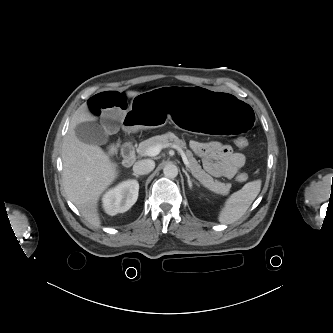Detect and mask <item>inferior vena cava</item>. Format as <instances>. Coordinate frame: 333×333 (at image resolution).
I'll return each instance as SVG.
<instances>
[{"mask_svg": "<svg viewBox=\"0 0 333 333\" xmlns=\"http://www.w3.org/2000/svg\"><path fill=\"white\" fill-rule=\"evenodd\" d=\"M155 168V162L150 159L138 161L133 166L134 173L138 175L149 174Z\"/></svg>", "mask_w": 333, "mask_h": 333, "instance_id": "1", "label": "inferior vena cava"}]
</instances>
